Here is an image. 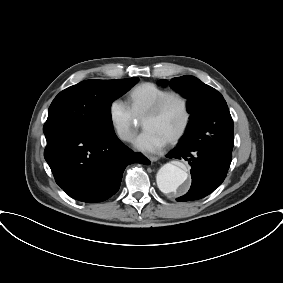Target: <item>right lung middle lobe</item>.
Masks as SVG:
<instances>
[{"mask_svg": "<svg viewBox=\"0 0 283 283\" xmlns=\"http://www.w3.org/2000/svg\"><path fill=\"white\" fill-rule=\"evenodd\" d=\"M138 78L86 80L60 92L48 110L43 132L50 140L64 132L113 133L111 103Z\"/></svg>", "mask_w": 283, "mask_h": 283, "instance_id": "right-lung-middle-lobe-1", "label": "right lung middle lobe"}]
</instances>
